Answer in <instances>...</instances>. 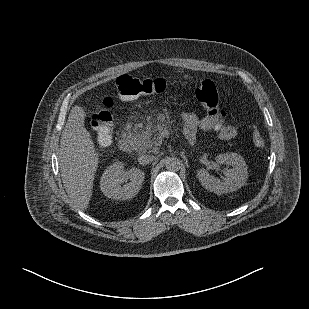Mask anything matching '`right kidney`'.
<instances>
[{"instance_id":"1","label":"right kidney","mask_w":309,"mask_h":309,"mask_svg":"<svg viewBox=\"0 0 309 309\" xmlns=\"http://www.w3.org/2000/svg\"><path fill=\"white\" fill-rule=\"evenodd\" d=\"M145 174L138 168L124 170V164L116 161L110 164L100 178V189L111 199L133 198L141 189Z\"/></svg>"}]
</instances>
